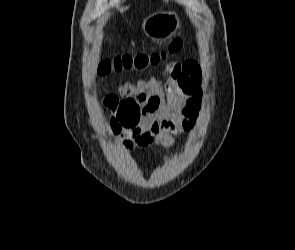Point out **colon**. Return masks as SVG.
I'll return each instance as SVG.
<instances>
[{
	"mask_svg": "<svg viewBox=\"0 0 295 250\" xmlns=\"http://www.w3.org/2000/svg\"><path fill=\"white\" fill-rule=\"evenodd\" d=\"M184 45L181 37L173 39L167 49L155 53L122 54L113 58L104 59L97 68L99 75H107L113 71L128 69H145L158 64L168 54L179 52ZM105 106L111 110V127L114 133H122L125 129H132L139 125L143 109L132 98L119 99L116 96H108L104 100Z\"/></svg>",
	"mask_w": 295,
	"mask_h": 250,
	"instance_id": "5ec220e1",
	"label": "colon"
}]
</instances>
